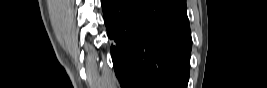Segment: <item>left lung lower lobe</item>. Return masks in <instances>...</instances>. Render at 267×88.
Wrapping results in <instances>:
<instances>
[{
	"mask_svg": "<svg viewBox=\"0 0 267 88\" xmlns=\"http://www.w3.org/2000/svg\"><path fill=\"white\" fill-rule=\"evenodd\" d=\"M121 88H185L191 34L185 0H102Z\"/></svg>",
	"mask_w": 267,
	"mask_h": 88,
	"instance_id": "obj_1",
	"label": "left lung lower lobe"
}]
</instances>
